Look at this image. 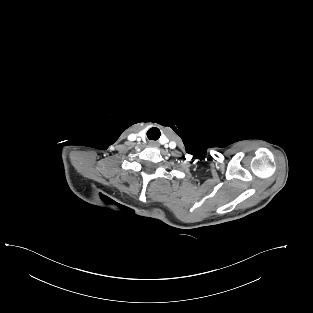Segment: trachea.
<instances>
[{
	"instance_id": "1",
	"label": "trachea",
	"mask_w": 313,
	"mask_h": 313,
	"mask_svg": "<svg viewBox=\"0 0 313 313\" xmlns=\"http://www.w3.org/2000/svg\"><path fill=\"white\" fill-rule=\"evenodd\" d=\"M161 132L158 128L152 127L147 131V137L150 140H158L160 138Z\"/></svg>"
}]
</instances>
